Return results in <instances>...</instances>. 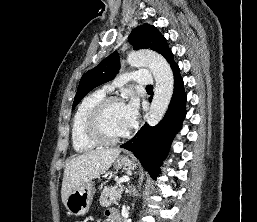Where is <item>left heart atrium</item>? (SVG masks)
Masks as SVG:
<instances>
[{"label":"left heart atrium","instance_id":"obj_1","mask_svg":"<svg viewBox=\"0 0 257 222\" xmlns=\"http://www.w3.org/2000/svg\"><path fill=\"white\" fill-rule=\"evenodd\" d=\"M139 115L138 102L136 99H131L128 103L123 105V121L125 132H129L137 122Z\"/></svg>","mask_w":257,"mask_h":222}]
</instances>
